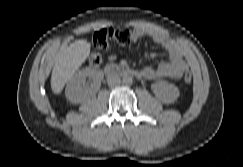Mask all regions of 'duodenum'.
Masks as SVG:
<instances>
[{"label": "duodenum", "mask_w": 243, "mask_h": 167, "mask_svg": "<svg viewBox=\"0 0 243 167\" xmlns=\"http://www.w3.org/2000/svg\"><path fill=\"white\" fill-rule=\"evenodd\" d=\"M103 72L105 73V75L107 76H133L136 78H142L143 74L142 71L134 69V68H130V67H124V66H120V65H114V64H109L107 66H105V68L103 69Z\"/></svg>", "instance_id": "410a0bca"}]
</instances>
